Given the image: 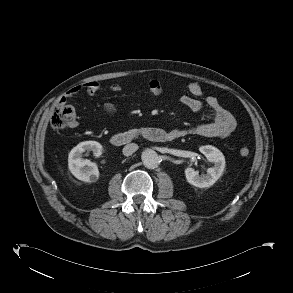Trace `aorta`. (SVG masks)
Instances as JSON below:
<instances>
[{"mask_svg": "<svg viewBox=\"0 0 293 293\" xmlns=\"http://www.w3.org/2000/svg\"><path fill=\"white\" fill-rule=\"evenodd\" d=\"M142 162L146 168L154 169L159 164V156L152 149H145L141 155Z\"/></svg>", "mask_w": 293, "mask_h": 293, "instance_id": "1", "label": "aorta"}]
</instances>
